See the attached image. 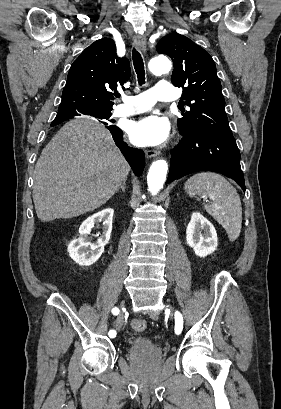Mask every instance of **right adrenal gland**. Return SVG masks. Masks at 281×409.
Returning <instances> with one entry per match:
<instances>
[{"instance_id":"1","label":"right adrenal gland","mask_w":281,"mask_h":409,"mask_svg":"<svg viewBox=\"0 0 281 409\" xmlns=\"http://www.w3.org/2000/svg\"><path fill=\"white\" fill-rule=\"evenodd\" d=\"M125 188H126V180H122L120 186L116 188V192H118V190H123V192H125Z\"/></svg>"}]
</instances>
